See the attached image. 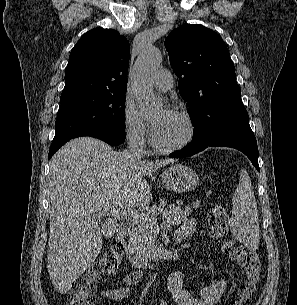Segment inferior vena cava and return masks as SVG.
I'll use <instances>...</instances> for the list:
<instances>
[{"label": "inferior vena cava", "instance_id": "obj_1", "mask_svg": "<svg viewBox=\"0 0 297 305\" xmlns=\"http://www.w3.org/2000/svg\"><path fill=\"white\" fill-rule=\"evenodd\" d=\"M129 155L135 160H141L145 156L144 130H133L129 136Z\"/></svg>", "mask_w": 297, "mask_h": 305}]
</instances>
